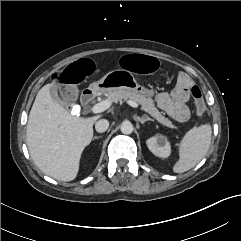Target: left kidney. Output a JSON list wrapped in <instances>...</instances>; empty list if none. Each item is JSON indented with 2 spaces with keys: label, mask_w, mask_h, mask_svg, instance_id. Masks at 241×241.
Here are the masks:
<instances>
[{
  "label": "left kidney",
  "mask_w": 241,
  "mask_h": 241,
  "mask_svg": "<svg viewBox=\"0 0 241 241\" xmlns=\"http://www.w3.org/2000/svg\"><path fill=\"white\" fill-rule=\"evenodd\" d=\"M148 149L161 158H167L171 153L170 143L163 135H157L147 140Z\"/></svg>",
  "instance_id": "5707ae66"
}]
</instances>
